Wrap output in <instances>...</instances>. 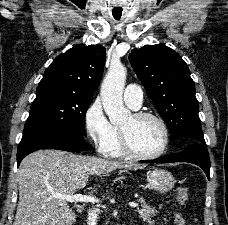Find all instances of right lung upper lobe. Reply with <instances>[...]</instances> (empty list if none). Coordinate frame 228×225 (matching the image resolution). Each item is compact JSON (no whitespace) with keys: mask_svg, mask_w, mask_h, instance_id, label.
<instances>
[{"mask_svg":"<svg viewBox=\"0 0 228 225\" xmlns=\"http://www.w3.org/2000/svg\"><path fill=\"white\" fill-rule=\"evenodd\" d=\"M105 59L101 45H75L54 59L38 87L59 86L92 96L99 86Z\"/></svg>","mask_w":228,"mask_h":225,"instance_id":"obj_1","label":"right lung upper lobe"}]
</instances>
